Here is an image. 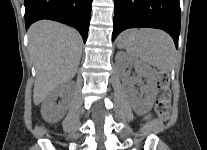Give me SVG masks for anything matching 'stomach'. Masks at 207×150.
I'll return each mask as SVG.
<instances>
[{
    "label": "stomach",
    "mask_w": 207,
    "mask_h": 150,
    "mask_svg": "<svg viewBox=\"0 0 207 150\" xmlns=\"http://www.w3.org/2000/svg\"><path fill=\"white\" fill-rule=\"evenodd\" d=\"M135 33L133 32H126L122 34L118 41H117V46L119 48H126L129 44L133 43L135 41Z\"/></svg>",
    "instance_id": "0dacf381"
}]
</instances>
